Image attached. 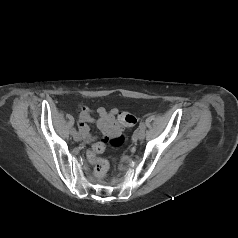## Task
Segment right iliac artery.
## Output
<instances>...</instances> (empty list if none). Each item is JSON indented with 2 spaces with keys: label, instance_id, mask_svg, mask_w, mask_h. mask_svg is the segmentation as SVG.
Here are the masks:
<instances>
[{
  "label": "right iliac artery",
  "instance_id": "82829eb1",
  "mask_svg": "<svg viewBox=\"0 0 238 238\" xmlns=\"http://www.w3.org/2000/svg\"><path fill=\"white\" fill-rule=\"evenodd\" d=\"M76 133H77L76 129L73 128L72 131H71V134L74 135V134H76Z\"/></svg>",
  "mask_w": 238,
  "mask_h": 238
}]
</instances>
